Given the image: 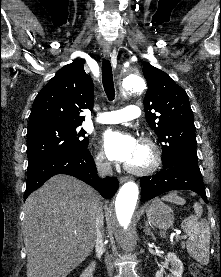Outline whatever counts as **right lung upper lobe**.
Masks as SVG:
<instances>
[{"mask_svg": "<svg viewBox=\"0 0 221 277\" xmlns=\"http://www.w3.org/2000/svg\"><path fill=\"white\" fill-rule=\"evenodd\" d=\"M94 103L93 82L84 71L81 61L62 67L36 96L28 126L57 124H82L83 109L92 111Z\"/></svg>", "mask_w": 221, "mask_h": 277, "instance_id": "right-lung-upper-lobe-1", "label": "right lung upper lobe"}]
</instances>
